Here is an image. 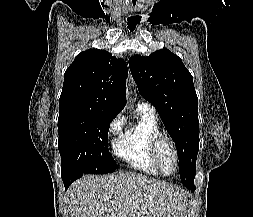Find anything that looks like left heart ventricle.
Listing matches in <instances>:
<instances>
[{"mask_svg": "<svg viewBox=\"0 0 253 217\" xmlns=\"http://www.w3.org/2000/svg\"><path fill=\"white\" fill-rule=\"evenodd\" d=\"M160 161L165 172L171 173L175 168V160L171 148L164 144L160 150Z\"/></svg>", "mask_w": 253, "mask_h": 217, "instance_id": "1", "label": "left heart ventricle"}]
</instances>
